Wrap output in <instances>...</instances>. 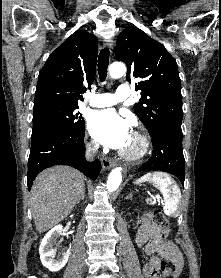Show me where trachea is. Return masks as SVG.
I'll use <instances>...</instances> for the list:
<instances>
[{"label": "trachea", "mask_w": 221, "mask_h": 278, "mask_svg": "<svg viewBox=\"0 0 221 278\" xmlns=\"http://www.w3.org/2000/svg\"><path fill=\"white\" fill-rule=\"evenodd\" d=\"M109 65V50L104 48L100 51L98 58V74L100 80L103 82L107 77V69Z\"/></svg>", "instance_id": "obj_1"}]
</instances>
